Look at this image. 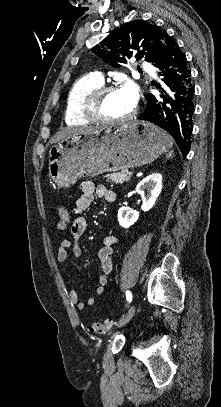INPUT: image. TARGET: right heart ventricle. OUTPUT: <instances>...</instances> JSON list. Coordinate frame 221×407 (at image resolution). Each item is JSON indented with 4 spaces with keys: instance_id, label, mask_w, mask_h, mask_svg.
<instances>
[{
    "instance_id": "1",
    "label": "right heart ventricle",
    "mask_w": 221,
    "mask_h": 407,
    "mask_svg": "<svg viewBox=\"0 0 221 407\" xmlns=\"http://www.w3.org/2000/svg\"><path fill=\"white\" fill-rule=\"evenodd\" d=\"M92 75H85L76 79L68 90L64 119L69 125H85L90 123L83 111V106L87 98L94 90L102 86Z\"/></svg>"
}]
</instances>
